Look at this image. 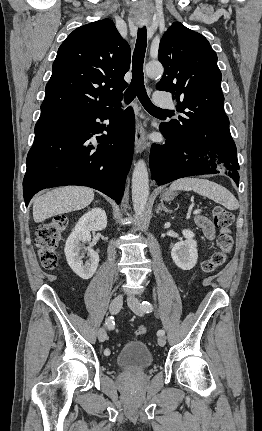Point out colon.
<instances>
[{
  "mask_svg": "<svg viewBox=\"0 0 262 431\" xmlns=\"http://www.w3.org/2000/svg\"><path fill=\"white\" fill-rule=\"evenodd\" d=\"M234 221L233 214L225 208L217 207L214 210V223L216 227L227 228ZM69 220L61 215L49 223L40 225L37 230V242L39 245V258L42 266L47 270H55L59 262V245L62 236L68 228ZM232 249V237L226 231H221L217 237V248L212 255L202 262L201 272L210 274L221 267ZM147 331L145 326L136 330L137 335H143Z\"/></svg>",
  "mask_w": 262,
  "mask_h": 431,
  "instance_id": "colon-1",
  "label": "colon"
}]
</instances>
